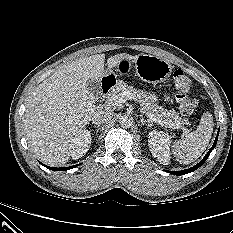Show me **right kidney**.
<instances>
[{
  "instance_id": "obj_1",
  "label": "right kidney",
  "mask_w": 233,
  "mask_h": 233,
  "mask_svg": "<svg viewBox=\"0 0 233 233\" xmlns=\"http://www.w3.org/2000/svg\"><path fill=\"white\" fill-rule=\"evenodd\" d=\"M91 145V133L88 130L79 131L69 143L70 155L73 159H79L89 150Z\"/></svg>"
}]
</instances>
